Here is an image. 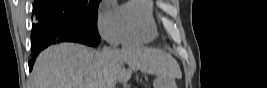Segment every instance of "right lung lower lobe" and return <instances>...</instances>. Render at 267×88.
Listing matches in <instances>:
<instances>
[{
	"instance_id": "98d812e1",
	"label": "right lung lower lobe",
	"mask_w": 267,
	"mask_h": 88,
	"mask_svg": "<svg viewBox=\"0 0 267 88\" xmlns=\"http://www.w3.org/2000/svg\"><path fill=\"white\" fill-rule=\"evenodd\" d=\"M34 4V21L31 33V49L39 54L44 48L56 42L71 41L97 46L101 38L96 25H88L69 12L47 0ZM33 62L29 63V70Z\"/></svg>"
}]
</instances>
